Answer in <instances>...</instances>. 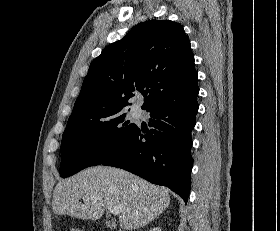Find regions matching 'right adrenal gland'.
I'll return each instance as SVG.
<instances>
[{"instance_id": "2a0ac1e0", "label": "right adrenal gland", "mask_w": 280, "mask_h": 231, "mask_svg": "<svg viewBox=\"0 0 280 231\" xmlns=\"http://www.w3.org/2000/svg\"><path fill=\"white\" fill-rule=\"evenodd\" d=\"M150 221H153V219H150ZM146 223L144 225H140V227H145Z\"/></svg>"}]
</instances>
